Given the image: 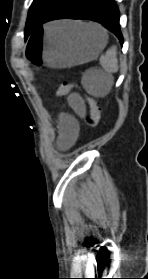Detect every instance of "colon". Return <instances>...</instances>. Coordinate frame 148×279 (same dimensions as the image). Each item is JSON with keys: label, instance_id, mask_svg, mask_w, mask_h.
<instances>
[{"label": "colon", "instance_id": "obj_1", "mask_svg": "<svg viewBox=\"0 0 148 279\" xmlns=\"http://www.w3.org/2000/svg\"><path fill=\"white\" fill-rule=\"evenodd\" d=\"M76 88L77 86L75 84L64 82L59 85L57 89V94L59 96L67 95L68 93H70L72 90ZM86 102L89 108V114L86 116L85 122L89 127L94 128L100 122L101 109L97 101L90 96H86Z\"/></svg>", "mask_w": 148, "mask_h": 279}]
</instances>
